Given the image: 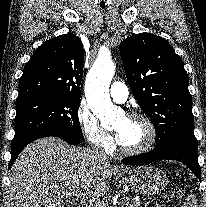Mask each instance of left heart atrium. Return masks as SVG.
<instances>
[{"label":"left heart atrium","instance_id":"obj_1","mask_svg":"<svg viewBox=\"0 0 206 207\" xmlns=\"http://www.w3.org/2000/svg\"><path fill=\"white\" fill-rule=\"evenodd\" d=\"M117 139H118V141L120 140V135L119 134H117Z\"/></svg>","mask_w":206,"mask_h":207}]
</instances>
